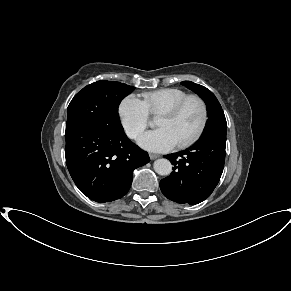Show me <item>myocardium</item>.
<instances>
[{
	"mask_svg": "<svg viewBox=\"0 0 291 291\" xmlns=\"http://www.w3.org/2000/svg\"><path fill=\"white\" fill-rule=\"evenodd\" d=\"M192 99L197 100L202 106V111H203L202 121H201L199 129L191 138L176 145L179 149H184V148H187V147L193 145L203 135V133L207 127L208 119H209V111H208L207 103L205 102V100L202 97L195 95V94H189L186 97H184L183 99H181L179 102H177L175 105H173L172 107L165 110L164 112H162L159 115V117L174 118L181 112V110L184 108V106L187 104V102H189Z\"/></svg>",
	"mask_w": 291,
	"mask_h": 291,
	"instance_id": "myocardium-1",
	"label": "myocardium"
}]
</instances>
